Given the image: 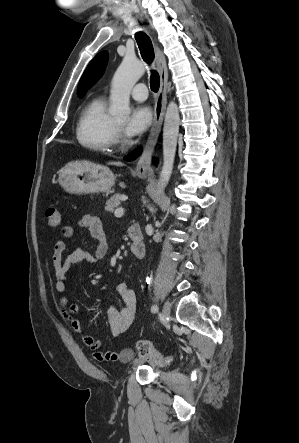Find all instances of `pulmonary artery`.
Masks as SVG:
<instances>
[{
  "label": "pulmonary artery",
  "instance_id": "e3ab8cb5",
  "mask_svg": "<svg viewBox=\"0 0 299 443\" xmlns=\"http://www.w3.org/2000/svg\"><path fill=\"white\" fill-rule=\"evenodd\" d=\"M131 96L137 101H144L148 97V90L145 84H136L131 90Z\"/></svg>",
  "mask_w": 299,
  "mask_h": 443
}]
</instances>
